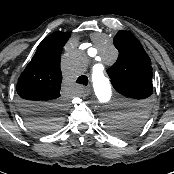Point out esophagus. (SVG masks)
<instances>
[{
    "mask_svg": "<svg viewBox=\"0 0 174 174\" xmlns=\"http://www.w3.org/2000/svg\"><path fill=\"white\" fill-rule=\"evenodd\" d=\"M83 94L88 95L91 92V89L89 87L83 89Z\"/></svg>",
    "mask_w": 174,
    "mask_h": 174,
    "instance_id": "34e87169",
    "label": "esophagus"
}]
</instances>
